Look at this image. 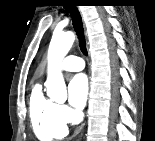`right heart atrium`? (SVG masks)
<instances>
[{
  "mask_svg": "<svg viewBox=\"0 0 155 141\" xmlns=\"http://www.w3.org/2000/svg\"><path fill=\"white\" fill-rule=\"evenodd\" d=\"M59 115L60 118L67 123H74L78 120L79 116L76 112L71 110L65 105H59Z\"/></svg>",
  "mask_w": 155,
  "mask_h": 141,
  "instance_id": "1",
  "label": "right heart atrium"
}]
</instances>
